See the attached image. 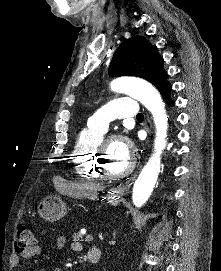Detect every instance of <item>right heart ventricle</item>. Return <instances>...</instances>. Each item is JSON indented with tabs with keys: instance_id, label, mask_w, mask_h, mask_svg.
<instances>
[{
	"instance_id": "1",
	"label": "right heart ventricle",
	"mask_w": 221,
	"mask_h": 271,
	"mask_svg": "<svg viewBox=\"0 0 221 271\" xmlns=\"http://www.w3.org/2000/svg\"><path fill=\"white\" fill-rule=\"evenodd\" d=\"M98 144H104L103 140L99 136H95L91 139L78 138L75 143L76 151H82L85 154H75L71 161L74 164H80L75 166V172L79 179H101V174H96L98 171V164H95L92 158H97Z\"/></svg>"
}]
</instances>
